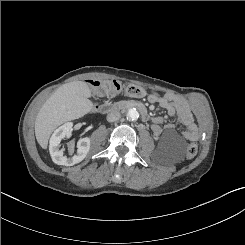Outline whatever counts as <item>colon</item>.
<instances>
[{
	"instance_id": "5ec220e1",
	"label": "colon",
	"mask_w": 245,
	"mask_h": 245,
	"mask_svg": "<svg viewBox=\"0 0 245 245\" xmlns=\"http://www.w3.org/2000/svg\"><path fill=\"white\" fill-rule=\"evenodd\" d=\"M120 94H126L131 97H142L146 94V90L135 84H123L116 80L98 81L94 83V96L97 99L113 98ZM198 151V147L195 143H191L187 146L186 157L193 158Z\"/></svg>"
}]
</instances>
